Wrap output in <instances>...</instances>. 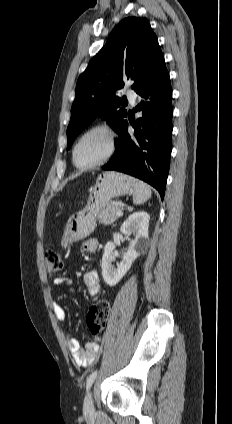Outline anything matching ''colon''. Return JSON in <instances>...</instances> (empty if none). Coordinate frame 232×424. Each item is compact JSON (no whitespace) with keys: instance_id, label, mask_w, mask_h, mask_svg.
Instances as JSON below:
<instances>
[{"instance_id":"5ec220e1","label":"colon","mask_w":232,"mask_h":424,"mask_svg":"<svg viewBox=\"0 0 232 424\" xmlns=\"http://www.w3.org/2000/svg\"><path fill=\"white\" fill-rule=\"evenodd\" d=\"M47 271L57 272L62 267L60 254L54 249H47L44 254ZM110 313V303L102 299L93 305L87 316L86 323L92 335L97 336L104 329L105 323Z\"/></svg>"}]
</instances>
